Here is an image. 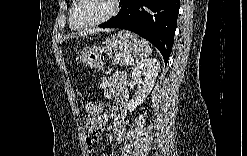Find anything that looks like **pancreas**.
Instances as JSON below:
<instances>
[{"label": "pancreas", "mask_w": 247, "mask_h": 156, "mask_svg": "<svg viewBox=\"0 0 247 156\" xmlns=\"http://www.w3.org/2000/svg\"><path fill=\"white\" fill-rule=\"evenodd\" d=\"M133 62V58L130 55L124 53H118L115 55L111 60V65H128L129 63Z\"/></svg>", "instance_id": "cf45deb5"}]
</instances>
